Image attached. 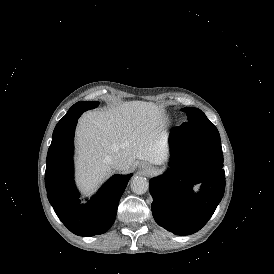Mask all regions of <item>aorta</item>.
<instances>
[{
	"instance_id": "1",
	"label": "aorta",
	"mask_w": 274,
	"mask_h": 274,
	"mask_svg": "<svg viewBox=\"0 0 274 274\" xmlns=\"http://www.w3.org/2000/svg\"><path fill=\"white\" fill-rule=\"evenodd\" d=\"M148 188L149 183L145 177L137 176L131 181V190L138 195L146 193Z\"/></svg>"
}]
</instances>
